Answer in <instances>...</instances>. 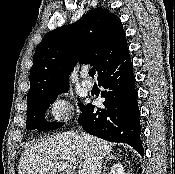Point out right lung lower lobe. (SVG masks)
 Segmentation results:
<instances>
[{"label":"right lung lower lobe","mask_w":175,"mask_h":174,"mask_svg":"<svg viewBox=\"0 0 175 174\" xmlns=\"http://www.w3.org/2000/svg\"><path fill=\"white\" fill-rule=\"evenodd\" d=\"M98 80L99 86L106 89L101 93L105 108H95L91 104L84 106L79 124L87 133L107 141L129 144L143 156L140 110L129 53L108 66Z\"/></svg>","instance_id":"right-lung-lower-lobe-1"}]
</instances>
